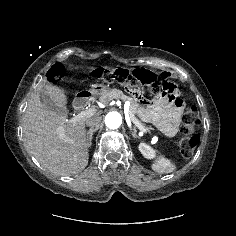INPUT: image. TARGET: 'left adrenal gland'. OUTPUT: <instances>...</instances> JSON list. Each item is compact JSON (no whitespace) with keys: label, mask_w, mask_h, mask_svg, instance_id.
<instances>
[{"label":"left adrenal gland","mask_w":236,"mask_h":236,"mask_svg":"<svg viewBox=\"0 0 236 236\" xmlns=\"http://www.w3.org/2000/svg\"><path fill=\"white\" fill-rule=\"evenodd\" d=\"M136 128L134 127L133 128V132H132V136L134 137V138H139V136L136 134Z\"/></svg>","instance_id":"left-adrenal-gland-1"}]
</instances>
